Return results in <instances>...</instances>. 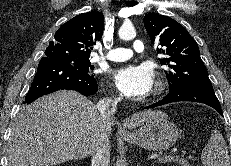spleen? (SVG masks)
Instances as JSON below:
<instances>
[{"label":"spleen","instance_id":"1","mask_svg":"<svg viewBox=\"0 0 231 166\" xmlns=\"http://www.w3.org/2000/svg\"><path fill=\"white\" fill-rule=\"evenodd\" d=\"M201 160L204 166H230L227 145L217 129L212 130L211 137L203 148Z\"/></svg>","mask_w":231,"mask_h":166}]
</instances>
